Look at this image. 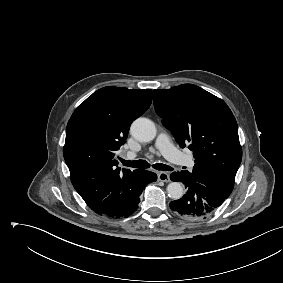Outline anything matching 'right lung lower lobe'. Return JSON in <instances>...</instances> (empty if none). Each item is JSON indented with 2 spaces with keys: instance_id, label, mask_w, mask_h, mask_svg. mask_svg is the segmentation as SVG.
<instances>
[{
  "instance_id": "1",
  "label": "right lung lower lobe",
  "mask_w": 283,
  "mask_h": 283,
  "mask_svg": "<svg viewBox=\"0 0 283 283\" xmlns=\"http://www.w3.org/2000/svg\"><path fill=\"white\" fill-rule=\"evenodd\" d=\"M156 180H157V175L155 173L147 170H139L137 174L138 186L136 188V191L132 194V196L116 209L109 211L107 213H103L102 215L120 218V217H128L129 215L133 214V212L136 211L138 204L140 202L139 196L144 186L147 183Z\"/></svg>"
}]
</instances>
